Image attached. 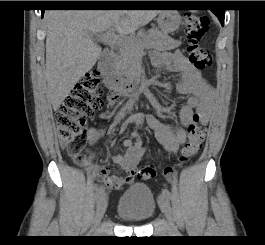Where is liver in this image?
I'll return each instance as SVG.
<instances>
[{
    "mask_svg": "<svg viewBox=\"0 0 265 245\" xmlns=\"http://www.w3.org/2000/svg\"><path fill=\"white\" fill-rule=\"evenodd\" d=\"M160 10H49L47 25L46 79L54 111L75 84L92 69L101 55L94 34L115 28L123 35L147 25Z\"/></svg>",
    "mask_w": 265,
    "mask_h": 245,
    "instance_id": "1",
    "label": "liver"
}]
</instances>
